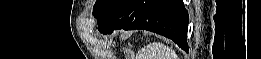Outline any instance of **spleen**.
I'll return each mask as SVG.
<instances>
[{
  "label": "spleen",
  "mask_w": 261,
  "mask_h": 59,
  "mask_svg": "<svg viewBox=\"0 0 261 59\" xmlns=\"http://www.w3.org/2000/svg\"><path fill=\"white\" fill-rule=\"evenodd\" d=\"M138 55L141 59H177L175 51L161 42L149 44Z\"/></svg>",
  "instance_id": "obj_1"
}]
</instances>
